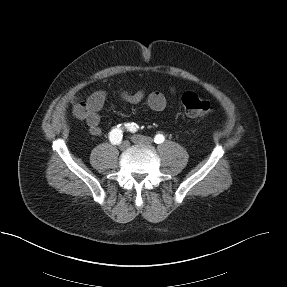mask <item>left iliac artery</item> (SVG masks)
<instances>
[{
  "label": "left iliac artery",
  "instance_id": "obj_1",
  "mask_svg": "<svg viewBox=\"0 0 287 287\" xmlns=\"http://www.w3.org/2000/svg\"><path fill=\"white\" fill-rule=\"evenodd\" d=\"M127 126H128V129H129L130 131H132V132L136 131V127H137L136 124L131 123V124H127ZM164 140H165V137H164L162 134H157V135L154 137V142H155L156 144H161V143L164 142Z\"/></svg>",
  "mask_w": 287,
  "mask_h": 287
}]
</instances>
